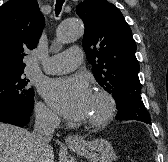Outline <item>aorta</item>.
Here are the masks:
<instances>
[{
    "label": "aorta",
    "instance_id": "obj_1",
    "mask_svg": "<svg viewBox=\"0 0 168 162\" xmlns=\"http://www.w3.org/2000/svg\"><path fill=\"white\" fill-rule=\"evenodd\" d=\"M83 35V25L79 19H67L58 27L56 39L58 43L66 44L76 41Z\"/></svg>",
    "mask_w": 168,
    "mask_h": 162
}]
</instances>
